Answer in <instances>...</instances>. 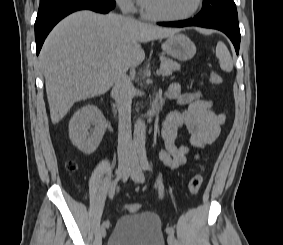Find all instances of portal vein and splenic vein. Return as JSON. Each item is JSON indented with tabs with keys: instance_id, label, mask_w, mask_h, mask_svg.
Returning a JSON list of instances; mask_svg holds the SVG:
<instances>
[{
	"instance_id": "portal-vein-and-splenic-vein-1",
	"label": "portal vein and splenic vein",
	"mask_w": 283,
	"mask_h": 245,
	"mask_svg": "<svg viewBox=\"0 0 283 245\" xmlns=\"http://www.w3.org/2000/svg\"><path fill=\"white\" fill-rule=\"evenodd\" d=\"M156 73H157V75H160V74H162V70L161 69L157 70Z\"/></svg>"
}]
</instances>
